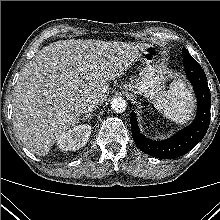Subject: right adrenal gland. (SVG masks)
<instances>
[{
  "label": "right adrenal gland",
  "instance_id": "2a0ac1e0",
  "mask_svg": "<svg viewBox=\"0 0 220 220\" xmlns=\"http://www.w3.org/2000/svg\"><path fill=\"white\" fill-rule=\"evenodd\" d=\"M92 117H93V113L91 112V113H88V114H86L85 116H83V117L81 118V120H82V121H86V120L89 121V119H91Z\"/></svg>",
  "mask_w": 220,
  "mask_h": 220
}]
</instances>
